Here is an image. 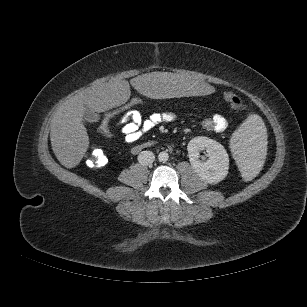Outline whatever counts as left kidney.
<instances>
[{
    "label": "left kidney",
    "instance_id": "obj_1",
    "mask_svg": "<svg viewBox=\"0 0 307 307\" xmlns=\"http://www.w3.org/2000/svg\"><path fill=\"white\" fill-rule=\"evenodd\" d=\"M191 166L208 183H218L228 174L229 157L217 141L204 136L190 140L187 146ZM207 152L208 159L200 160V151Z\"/></svg>",
    "mask_w": 307,
    "mask_h": 307
}]
</instances>
